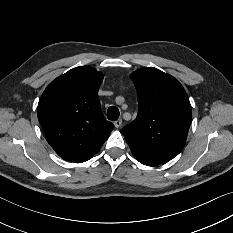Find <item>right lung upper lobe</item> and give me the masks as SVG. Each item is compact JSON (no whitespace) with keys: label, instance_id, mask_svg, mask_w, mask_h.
Wrapping results in <instances>:
<instances>
[{"label":"right lung upper lobe","instance_id":"1","mask_svg":"<svg viewBox=\"0 0 233 233\" xmlns=\"http://www.w3.org/2000/svg\"><path fill=\"white\" fill-rule=\"evenodd\" d=\"M103 74L86 65L51 82L38 103L46 139L66 161L81 163L96 154L114 125L102 114L98 90Z\"/></svg>","mask_w":233,"mask_h":233}]
</instances>
